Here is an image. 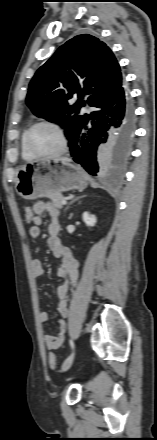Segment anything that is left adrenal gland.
Returning a JSON list of instances; mask_svg holds the SVG:
<instances>
[{
  "label": "left adrenal gland",
  "mask_w": 157,
  "mask_h": 440,
  "mask_svg": "<svg viewBox=\"0 0 157 440\" xmlns=\"http://www.w3.org/2000/svg\"><path fill=\"white\" fill-rule=\"evenodd\" d=\"M84 197H86V195H83V196H80V197H76L75 199H73L71 202H70V204H72V203H74L75 201H78V200H80V199H82V198H84ZM69 204V205H70ZM69 207H67L65 210H67Z\"/></svg>",
  "instance_id": "a2214340"
}]
</instances>
